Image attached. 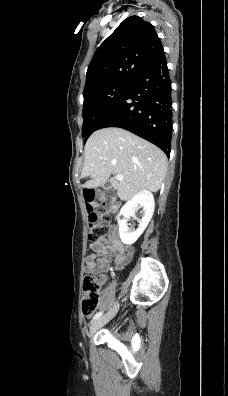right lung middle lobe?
Instances as JSON below:
<instances>
[{
	"instance_id": "obj_1",
	"label": "right lung middle lobe",
	"mask_w": 228,
	"mask_h": 396,
	"mask_svg": "<svg viewBox=\"0 0 228 396\" xmlns=\"http://www.w3.org/2000/svg\"><path fill=\"white\" fill-rule=\"evenodd\" d=\"M129 82L112 83L84 95L82 136L86 141L100 122L116 107L130 87Z\"/></svg>"
}]
</instances>
